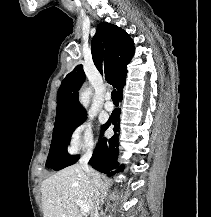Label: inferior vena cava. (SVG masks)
<instances>
[{
  "instance_id": "obj_1",
  "label": "inferior vena cava",
  "mask_w": 211,
  "mask_h": 217,
  "mask_svg": "<svg viewBox=\"0 0 211 217\" xmlns=\"http://www.w3.org/2000/svg\"><path fill=\"white\" fill-rule=\"evenodd\" d=\"M92 156V150L87 151L79 160V163L86 173H89L88 162ZM99 193H95L94 207L90 217H98Z\"/></svg>"
}]
</instances>
